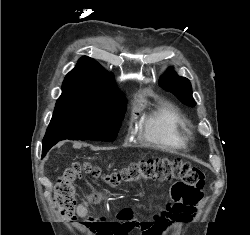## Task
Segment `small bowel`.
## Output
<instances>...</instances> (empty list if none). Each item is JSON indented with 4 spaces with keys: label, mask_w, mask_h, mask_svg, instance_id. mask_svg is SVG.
I'll return each mask as SVG.
<instances>
[{
    "label": "small bowel",
    "mask_w": 250,
    "mask_h": 235,
    "mask_svg": "<svg viewBox=\"0 0 250 235\" xmlns=\"http://www.w3.org/2000/svg\"><path fill=\"white\" fill-rule=\"evenodd\" d=\"M196 212L197 206H187L183 203L172 202L164 212L159 214L155 221L162 224V233L171 228L174 224L192 220L195 217ZM77 213L80 217H84L87 214V208L83 205H79Z\"/></svg>",
    "instance_id": "1"
}]
</instances>
